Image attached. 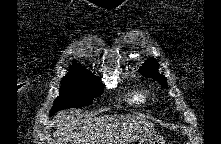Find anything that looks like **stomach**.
<instances>
[{
  "instance_id": "obj_1",
  "label": "stomach",
  "mask_w": 221,
  "mask_h": 144,
  "mask_svg": "<svg viewBox=\"0 0 221 144\" xmlns=\"http://www.w3.org/2000/svg\"><path fill=\"white\" fill-rule=\"evenodd\" d=\"M139 144H164V141L156 134H152L142 137L139 141Z\"/></svg>"
}]
</instances>
